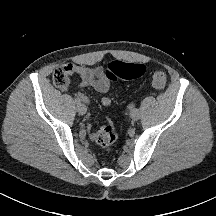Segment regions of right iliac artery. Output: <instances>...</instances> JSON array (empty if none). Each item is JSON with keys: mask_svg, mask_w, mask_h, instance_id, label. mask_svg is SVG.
Segmentation results:
<instances>
[{"mask_svg": "<svg viewBox=\"0 0 216 216\" xmlns=\"http://www.w3.org/2000/svg\"><path fill=\"white\" fill-rule=\"evenodd\" d=\"M75 103L78 105V104H80L81 103V101L78 99V98H75Z\"/></svg>", "mask_w": 216, "mask_h": 216, "instance_id": "right-iliac-artery-1", "label": "right iliac artery"}]
</instances>
